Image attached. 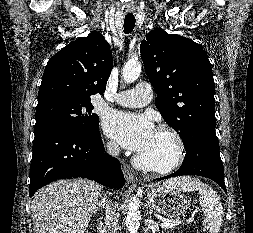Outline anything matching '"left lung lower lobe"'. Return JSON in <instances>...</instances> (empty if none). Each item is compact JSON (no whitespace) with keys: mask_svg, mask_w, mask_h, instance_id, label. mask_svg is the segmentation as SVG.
Returning a JSON list of instances; mask_svg holds the SVG:
<instances>
[{"mask_svg":"<svg viewBox=\"0 0 253 233\" xmlns=\"http://www.w3.org/2000/svg\"><path fill=\"white\" fill-rule=\"evenodd\" d=\"M186 155L181 167L173 174L154 180L180 175H198L212 179L226 192L224 169L215 132L201 130L184 144Z\"/></svg>","mask_w":253,"mask_h":233,"instance_id":"0a47b994","label":"left lung lower lobe"}]
</instances>
